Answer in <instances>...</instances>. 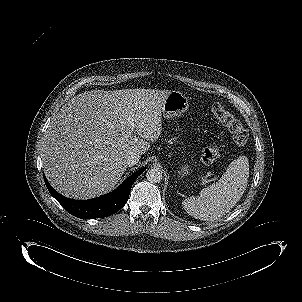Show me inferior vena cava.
Instances as JSON below:
<instances>
[{
	"mask_svg": "<svg viewBox=\"0 0 302 302\" xmlns=\"http://www.w3.org/2000/svg\"><path fill=\"white\" fill-rule=\"evenodd\" d=\"M139 159H140V155L138 153L129 152L125 157V163L131 167L137 164L139 162Z\"/></svg>",
	"mask_w": 302,
	"mask_h": 302,
	"instance_id": "obj_1",
	"label": "inferior vena cava"
}]
</instances>
